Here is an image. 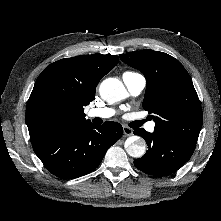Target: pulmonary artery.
Here are the masks:
<instances>
[{
    "instance_id": "e3ab8cb5",
    "label": "pulmonary artery",
    "mask_w": 221,
    "mask_h": 221,
    "mask_svg": "<svg viewBox=\"0 0 221 221\" xmlns=\"http://www.w3.org/2000/svg\"><path fill=\"white\" fill-rule=\"evenodd\" d=\"M123 82L131 96H138L141 94L143 89L145 88V78L138 73L127 72L122 76ZM115 114V110L112 108H94L90 109L87 113L89 118H101L107 119L112 117ZM155 128V123L150 122L147 125L148 131H153Z\"/></svg>"
}]
</instances>
